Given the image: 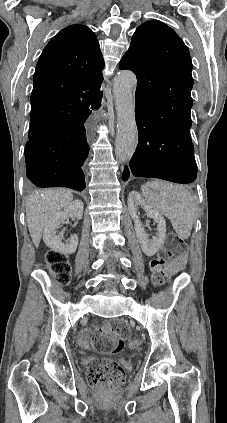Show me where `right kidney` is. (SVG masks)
Listing matches in <instances>:
<instances>
[{
    "mask_svg": "<svg viewBox=\"0 0 227 423\" xmlns=\"http://www.w3.org/2000/svg\"><path fill=\"white\" fill-rule=\"evenodd\" d=\"M74 217V219H82L83 215V204L81 200H75L71 202L70 206H67L64 211H56L53 217H50L47 221L44 231H43V241L51 247L53 251H58V253H64V255H69V253H75L78 245V235L73 233L69 241H62L60 235H56V227H60L66 217Z\"/></svg>",
    "mask_w": 227,
    "mask_h": 423,
    "instance_id": "right-kidney-1",
    "label": "right kidney"
}]
</instances>
